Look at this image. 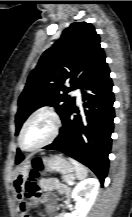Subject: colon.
<instances>
[{
    "instance_id": "obj_1",
    "label": "colon",
    "mask_w": 132,
    "mask_h": 217,
    "mask_svg": "<svg viewBox=\"0 0 132 217\" xmlns=\"http://www.w3.org/2000/svg\"><path fill=\"white\" fill-rule=\"evenodd\" d=\"M32 165L33 169L31 170L30 175L27 181L25 182L22 191L23 197H25L28 200L37 198L40 194V187L37 179L39 176V172L43 169V163L40 158H35L32 162Z\"/></svg>"
}]
</instances>
